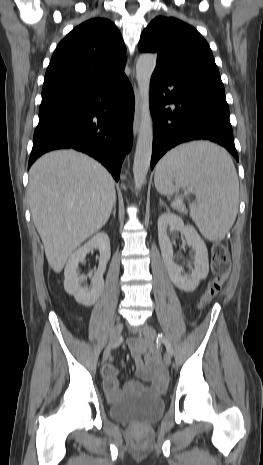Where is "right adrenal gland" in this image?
<instances>
[{
  "label": "right adrenal gland",
  "instance_id": "obj_1",
  "mask_svg": "<svg viewBox=\"0 0 263 465\" xmlns=\"http://www.w3.org/2000/svg\"><path fill=\"white\" fill-rule=\"evenodd\" d=\"M112 214H113V217L115 218V217H116V204H114V208H113Z\"/></svg>",
  "mask_w": 263,
  "mask_h": 465
}]
</instances>
